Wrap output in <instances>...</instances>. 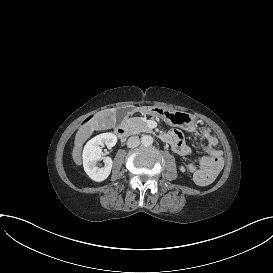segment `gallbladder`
<instances>
[{
    "mask_svg": "<svg viewBox=\"0 0 273 273\" xmlns=\"http://www.w3.org/2000/svg\"><path fill=\"white\" fill-rule=\"evenodd\" d=\"M136 112H137L136 106L120 108L116 112L117 121L121 122L122 120H124V118L126 117L127 114L136 113Z\"/></svg>",
    "mask_w": 273,
    "mask_h": 273,
    "instance_id": "obj_1",
    "label": "gallbladder"
}]
</instances>
